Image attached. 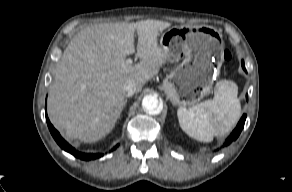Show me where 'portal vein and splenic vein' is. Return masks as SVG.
Here are the masks:
<instances>
[{
    "label": "portal vein and splenic vein",
    "instance_id": "portal-vein-and-splenic-vein-1",
    "mask_svg": "<svg viewBox=\"0 0 292 192\" xmlns=\"http://www.w3.org/2000/svg\"><path fill=\"white\" fill-rule=\"evenodd\" d=\"M126 63H128V64H132V60H131V59H127V60H126Z\"/></svg>",
    "mask_w": 292,
    "mask_h": 192
}]
</instances>
